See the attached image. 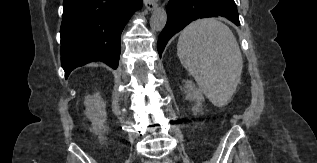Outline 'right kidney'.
I'll list each match as a JSON object with an SVG mask.
<instances>
[{"mask_svg": "<svg viewBox=\"0 0 317 163\" xmlns=\"http://www.w3.org/2000/svg\"><path fill=\"white\" fill-rule=\"evenodd\" d=\"M84 104L86 106L85 115L92 123V130L98 134L100 140H102V134L108 129L105 126L107 119L105 102L101 95L96 93L93 96H86Z\"/></svg>", "mask_w": 317, "mask_h": 163, "instance_id": "right-kidney-1", "label": "right kidney"}]
</instances>
